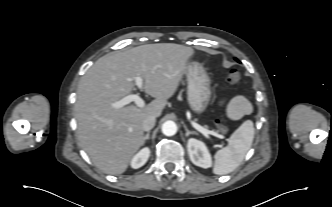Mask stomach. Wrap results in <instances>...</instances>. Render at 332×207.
I'll list each match as a JSON object with an SVG mask.
<instances>
[{
  "label": "stomach",
  "instance_id": "obj_1",
  "mask_svg": "<svg viewBox=\"0 0 332 207\" xmlns=\"http://www.w3.org/2000/svg\"><path fill=\"white\" fill-rule=\"evenodd\" d=\"M187 78V95L190 108L196 114H202L211 99L209 76L202 64L190 62L185 71Z\"/></svg>",
  "mask_w": 332,
  "mask_h": 207
}]
</instances>
